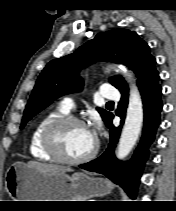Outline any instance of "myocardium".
Instances as JSON below:
<instances>
[{
  "label": "myocardium",
  "instance_id": "obj_1",
  "mask_svg": "<svg viewBox=\"0 0 176 211\" xmlns=\"http://www.w3.org/2000/svg\"><path fill=\"white\" fill-rule=\"evenodd\" d=\"M72 124H78L87 127L86 123L80 118L73 115H63L51 121L43 133V146L56 160L77 165L91 160L98 152L99 143L95 140L93 148L84 156L72 158L67 156L61 146L62 130Z\"/></svg>",
  "mask_w": 176,
  "mask_h": 211
}]
</instances>
